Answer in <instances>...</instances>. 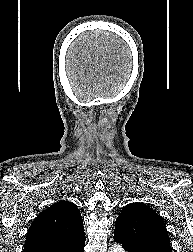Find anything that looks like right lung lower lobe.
<instances>
[{"label":"right lung lower lobe","instance_id":"right-lung-lower-lobe-1","mask_svg":"<svg viewBox=\"0 0 193 252\" xmlns=\"http://www.w3.org/2000/svg\"><path fill=\"white\" fill-rule=\"evenodd\" d=\"M85 237L58 252H84Z\"/></svg>","mask_w":193,"mask_h":252}]
</instances>
